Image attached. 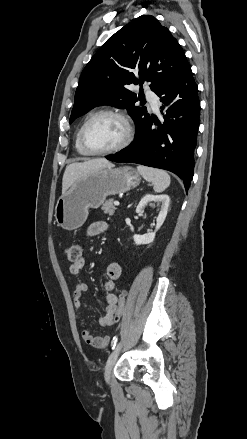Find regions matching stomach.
Returning a JSON list of instances; mask_svg holds the SVG:
<instances>
[{
	"instance_id": "obj_1",
	"label": "stomach",
	"mask_w": 247,
	"mask_h": 439,
	"mask_svg": "<svg viewBox=\"0 0 247 439\" xmlns=\"http://www.w3.org/2000/svg\"><path fill=\"white\" fill-rule=\"evenodd\" d=\"M141 177L130 166L104 167L76 180L55 206V219L65 230L81 227L89 208H98L107 196L126 192L139 185Z\"/></svg>"
}]
</instances>
